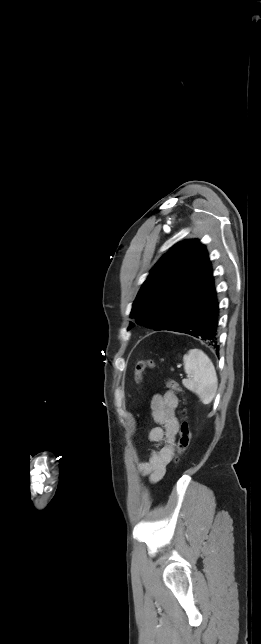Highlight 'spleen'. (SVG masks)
<instances>
[{
    "instance_id": "obj_1",
    "label": "spleen",
    "mask_w": 261,
    "mask_h": 644,
    "mask_svg": "<svg viewBox=\"0 0 261 644\" xmlns=\"http://www.w3.org/2000/svg\"><path fill=\"white\" fill-rule=\"evenodd\" d=\"M184 370L191 378L184 379L183 385L195 393L203 404H210L214 399L218 379L212 361L199 349H191L183 356Z\"/></svg>"
}]
</instances>
